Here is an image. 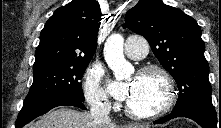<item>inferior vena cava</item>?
Returning <instances> with one entry per match:
<instances>
[{"label":"inferior vena cava","instance_id":"1","mask_svg":"<svg viewBox=\"0 0 221 128\" xmlns=\"http://www.w3.org/2000/svg\"><path fill=\"white\" fill-rule=\"evenodd\" d=\"M110 107L97 102L91 104L90 115L96 122L109 121Z\"/></svg>","mask_w":221,"mask_h":128}]
</instances>
